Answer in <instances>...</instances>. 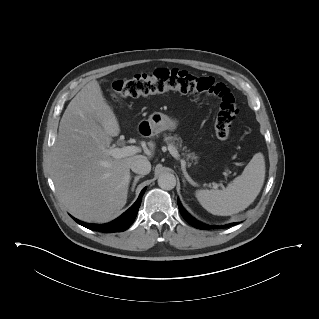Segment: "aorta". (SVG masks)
Here are the masks:
<instances>
[{"label":"aorta","instance_id":"762f6f07","mask_svg":"<svg viewBox=\"0 0 319 319\" xmlns=\"http://www.w3.org/2000/svg\"><path fill=\"white\" fill-rule=\"evenodd\" d=\"M158 185L164 190H172L176 186V178L171 173H162L158 178Z\"/></svg>","mask_w":319,"mask_h":319}]
</instances>
